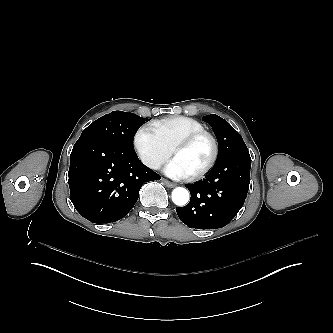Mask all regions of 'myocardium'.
<instances>
[{
	"label": "myocardium",
	"instance_id": "1",
	"mask_svg": "<svg viewBox=\"0 0 333 333\" xmlns=\"http://www.w3.org/2000/svg\"><path fill=\"white\" fill-rule=\"evenodd\" d=\"M202 138H208L209 141L211 142L212 154L204 166H202L194 174L187 177L188 181H194V180L200 179L207 172H209L212 169V167L215 165L218 155H219V145H218L217 139L210 132L203 130V131L192 133V134L182 138L171 149L170 155L172 156L176 151L183 149V148H187Z\"/></svg>",
	"mask_w": 333,
	"mask_h": 333
}]
</instances>
